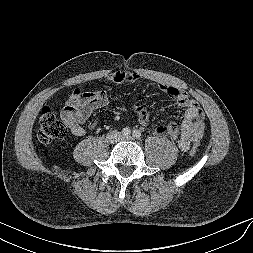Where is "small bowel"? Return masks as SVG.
<instances>
[{"instance_id": "1", "label": "small bowel", "mask_w": 253, "mask_h": 253, "mask_svg": "<svg viewBox=\"0 0 253 253\" xmlns=\"http://www.w3.org/2000/svg\"><path fill=\"white\" fill-rule=\"evenodd\" d=\"M140 79V76L130 71H116L112 73L108 80L114 83L132 84ZM159 89L174 99L178 106L184 108V117L180 126L171 122L163 128L153 131L154 135H166L174 141L181 151H187L191 143L199 141L204 133V114L196 101L178 87L160 83ZM109 98L104 90L84 91L76 89L66 100L61 112L70 131L75 136H83L86 129L82 124L97 110L106 107ZM135 110L139 117V122L144 128L150 126L149 106L146 103L136 105ZM98 120H92L89 124L91 129H95Z\"/></svg>"}]
</instances>
